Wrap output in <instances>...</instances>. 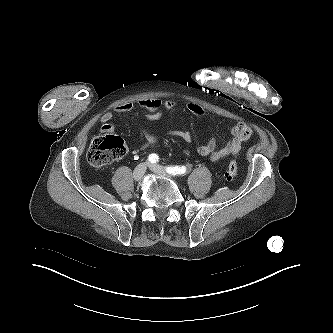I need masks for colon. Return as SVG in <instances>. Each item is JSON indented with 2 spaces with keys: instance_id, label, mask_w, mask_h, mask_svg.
Masks as SVG:
<instances>
[{
  "instance_id": "5ec220e1",
  "label": "colon",
  "mask_w": 333,
  "mask_h": 333,
  "mask_svg": "<svg viewBox=\"0 0 333 333\" xmlns=\"http://www.w3.org/2000/svg\"><path fill=\"white\" fill-rule=\"evenodd\" d=\"M126 153L123 141L113 135L95 137L88 148L87 160L96 167L106 166L115 160L122 158ZM237 176V163L230 161L226 178L232 180Z\"/></svg>"
}]
</instances>
